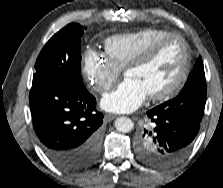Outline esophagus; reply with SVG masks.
<instances>
[{
  "label": "esophagus",
  "instance_id": "esophagus-1",
  "mask_svg": "<svg viewBox=\"0 0 223 188\" xmlns=\"http://www.w3.org/2000/svg\"><path fill=\"white\" fill-rule=\"evenodd\" d=\"M117 116L114 115V114H105L104 116V121L106 122H110L112 121L113 119H115Z\"/></svg>",
  "mask_w": 223,
  "mask_h": 188
}]
</instances>
